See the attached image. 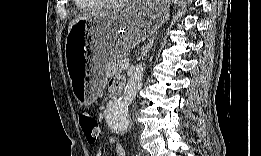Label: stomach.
<instances>
[{"label": "stomach", "mask_w": 261, "mask_h": 156, "mask_svg": "<svg viewBox=\"0 0 261 156\" xmlns=\"http://www.w3.org/2000/svg\"><path fill=\"white\" fill-rule=\"evenodd\" d=\"M168 15L165 4L135 2L113 17L82 20L73 25L66 38L65 56L77 101L81 105L92 104L104 86V66L111 56L154 35ZM88 46L90 62L79 68L75 58Z\"/></svg>", "instance_id": "0dacf381"}]
</instances>
